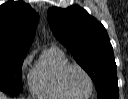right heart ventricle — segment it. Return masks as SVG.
Listing matches in <instances>:
<instances>
[{"label":"right heart ventricle","instance_id":"right-heart-ventricle-1","mask_svg":"<svg viewBox=\"0 0 128 99\" xmlns=\"http://www.w3.org/2000/svg\"><path fill=\"white\" fill-rule=\"evenodd\" d=\"M69 60L59 48L46 50L30 75V89L39 99H69L61 88L59 75Z\"/></svg>","mask_w":128,"mask_h":99}]
</instances>
